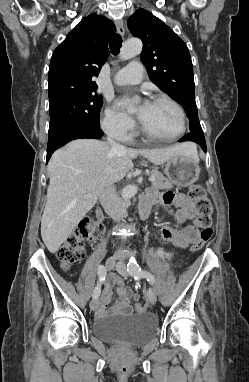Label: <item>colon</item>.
Masks as SVG:
<instances>
[{
  "instance_id": "1",
  "label": "colon",
  "mask_w": 249,
  "mask_h": 382,
  "mask_svg": "<svg viewBox=\"0 0 249 382\" xmlns=\"http://www.w3.org/2000/svg\"><path fill=\"white\" fill-rule=\"evenodd\" d=\"M188 197L194 202L197 212L196 225L200 229V234L193 242L191 250L202 249L213 235V205L207 196L205 189L201 185H192L188 188ZM98 229L88 219H82L75 231L67 237L58 250V258L65 270H69L76 262L81 260L85 254V242L96 239ZM138 311H142L145 306L142 303L135 305Z\"/></svg>"
}]
</instances>
